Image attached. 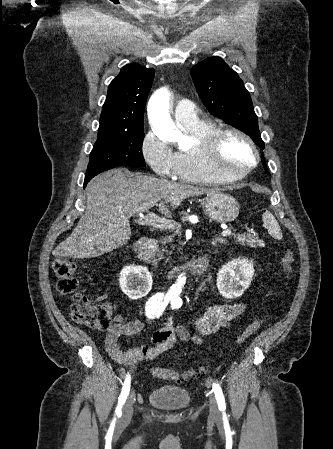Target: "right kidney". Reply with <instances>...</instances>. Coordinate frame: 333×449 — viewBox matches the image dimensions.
<instances>
[{
  "mask_svg": "<svg viewBox=\"0 0 333 449\" xmlns=\"http://www.w3.org/2000/svg\"><path fill=\"white\" fill-rule=\"evenodd\" d=\"M122 292L130 299L145 296L152 288V276L146 267L125 266L119 277Z\"/></svg>",
  "mask_w": 333,
  "mask_h": 449,
  "instance_id": "1",
  "label": "right kidney"
}]
</instances>
